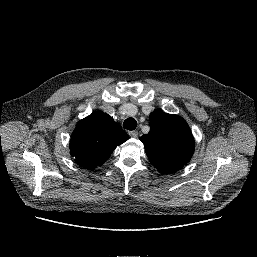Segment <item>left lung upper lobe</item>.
I'll return each mask as SVG.
<instances>
[{
    "mask_svg": "<svg viewBox=\"0 0 257 257\" xmlns=\"http://www.w3.org/2000/svg\"><path fill=\"white\" fill-rule=\"evenodd\" d=\"M150 131L140 140L150 162L163 174H172L191 159L194 139L186 121L155 110L150 114Z\"/></svg>",
    "mask_w": 257,
    "mask_h": 257,
    "instance_id": "5c2ea615",
    "label": "left lung upper lobe"
}]
</instances>
